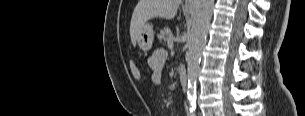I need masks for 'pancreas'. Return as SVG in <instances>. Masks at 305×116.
I'll return each mask as SVG.
<instances>
[{
  "label": "pancreas",
  "instance_id": "cf45deb5",
  "mask_svg": "<svg viewBox=\"0 0 305 116\" xmlns=\"http://www.w3.org/2000/svg\"><path fill=\"white\" fill-rule=\"evenodd\" d=\"M172 32L168 27H164L160 33L157 35L160 41L166 42L169 38H171Z\"/></svg>",
  "mask_w": 305,
  "mask_h": 116
}]
</instances>
